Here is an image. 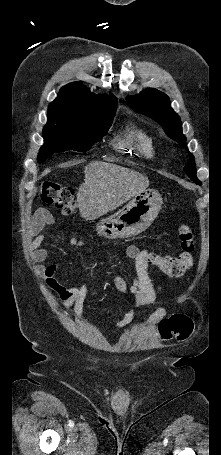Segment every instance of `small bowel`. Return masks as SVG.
Wrapping results in <instances>:
<instances>
[{
  "mask_svg": "<svg viewBox=\"0 0 221 455\" xmlns=\"http://www.w3.org/2000/svg\"><path fill=\"white\" fill-rule=\"evenodd\" d=\"M54 219L51 213L42 209L35 213L30 224L31 250L33 258L42 262L49 257V250L41 248L40 245L45 238L43 229L46 226L52 225ZM70 244L73 246H82L83 241L77 237L70 238ZM127 258L134 261L135 274L130 284H127L120 276L115 277V284L118 290L127 295L132 302V308L124 315V317L115 323V329H122L130 324L136 314V310L140 307L152 304L155 301V291L153 284L148 275L149 266V251L141 249L135 245L128 246L124 250ZM60 268L57 264H49L43 269L46 284L58 295L61 303L66 310L73 309L75 314L89 321V318L84 312V301L88 294L91 293L90 285L84 282L79 285L66 286L60 283L57 279V274ZM167 311L165 308H157L145 321L146 326H153L164 318Z\"/></svg>",
  "mask_w": 221,
  "mask_h": 455,
  "instance_id": "obj_1",
  "label": "small bowel"
}]
</instances>
